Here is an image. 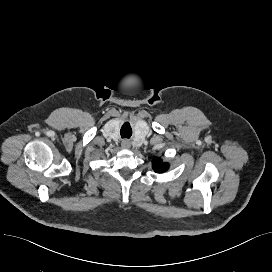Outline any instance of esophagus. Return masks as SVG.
<instances>
[{
  "instance_id": "1",
  "label": "esophagus",
  "mask_w": 272,
  "mask_h": 272,
  "mask_svg": "<svg viewBox=\"0 0 272 272\" xmlns=\"http://www.w3.org/2000/svg\"><path fill=\"white\" fill-rule=\"evenodd\" d=\"M130 141L128 139H124L121 143L123 148H129L130 147Z\"/></svg>"
}]
</instances>
